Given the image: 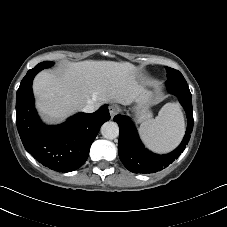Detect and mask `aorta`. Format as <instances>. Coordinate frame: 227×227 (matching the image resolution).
<instances>
[{
	"instance_id": "aorta-1",
	"label": "aorta",
	"mask_w": 227,
	"mask_h": 227,
	"mask_svg": "<svg viewBox=\"0 0 227 227\" xmlns=\"http://www.w3.org/2000/svg\"><path fill=\"white\" fill-rule=\"evenodd\" d=\"M101 134L106 139H115L119 135V127L113 121L105 122L101 127Z\"/></svg>"
}]
</instances>
